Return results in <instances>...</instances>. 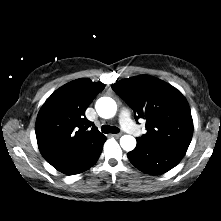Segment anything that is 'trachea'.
<instances>
[{"label":"trachea","mask_w":221,"mask_h":221,"mask_svg":"<svg viewBox=\"0 0 221 221\" xmlns=\"http://www.w3.org/2000/svg\"><path fill=\"white\" fill-rule=\"evenodd\" d=\"M101 131L103 133H112V134H116L119 132V129L115 126H110V125H103L101 128Z\"/></svg>","instance_id":"obj_1"}]
</instances>
